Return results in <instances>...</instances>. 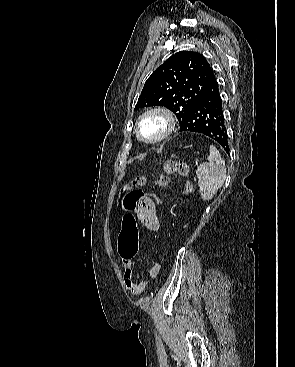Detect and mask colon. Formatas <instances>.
<instances>
[{
	"instance_id": "colon-1",
	"label": "colon",
	"mask_w": 295,
	"mask_h": 367,
	"mask_svg": "<svg viewBox=\"0 0 295 367\" xmlns=\"http://www.w3.org/2000/svg\"><path fill=\"white\" fill-rule=\"evenodd\" d=\"M173 174H179L181 176L189 175V166L186 162L177 160H168L165 162L163 167V172L159 174L156 178H149L146 176H139L134 180L126 183L120 192L121 204L126 213L122 219V231L120 234V245L121 250L125 255H132L137 250V240L138 232L136 227L135 218L132 215L137 201L141 196L149 195V197L154 201V205H163L164 196L158 195L152 189H141L148 183H152L157 187H164L169 183L170 176ZM193 185L191 182H186L183 188V194L189 195L193 193ZM155 267L158 266L157 263L154 264Z\"/></svg>"
}]
</instances>
